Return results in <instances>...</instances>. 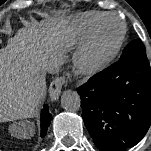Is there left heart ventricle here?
<instances>
[{"label": "left heart ventricle", "mask_w": 151, "mask_h": 151, "mask_svg": "<svg viewBox=\"0 0 151 151\" xmlns=\"http://www.w3.org/2000/svg\"><path fill=\"white\" fill-rule=\"evenodd\" d=\"M121 32V24L117 19L110 18L101 26L93 46V54L97 57L108 53Z\"/></svg>", "instance_id": "obj_1"}]
</instances>
